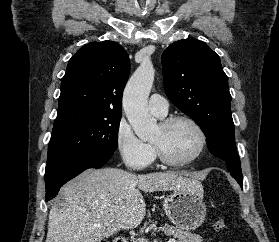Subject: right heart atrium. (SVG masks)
I'll use <instances>...</instances> for the list:
<instances>
[{"label":"right heart atrium","mask_w":279,"mask_h":242,"mask_svg":"<svg viewBox=\"0 0 279 242\" xmlns=\"http://www.w3.org/2000/svg\"><path fill=\"white\" fill-rule=\"evenodd\" d=\"M115 144L121 160L130 168L143 169L154 159L152 146L138 138L123 117L117 123Z\"/></svg>","instance_id":"right-heart-atrium-1"}]
</instances>
